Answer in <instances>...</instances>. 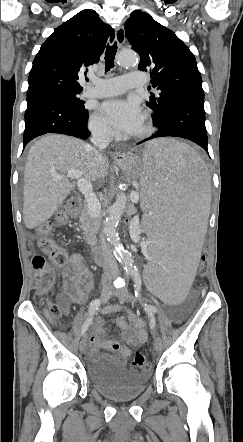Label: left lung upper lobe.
I'll use <instances>...</instances> for the list:
<instances>
[{
  "mask_svg": "<svg viewBox=\"0 0 243 442\" xmlns=\"http://www.w3.org/2000/svg\"><path fill=\"white\" fill-rule=\"evenodd\" d=\"M125 34L140 55L139 70L150 71L152 87L160 90L146 102L153 119L163 114L169 100L184 90H203L195 56L174 32L140 10L131 13Z\"/></svg>",
  "mask_w": 243,
  "mask_h": 442,
  "instance_id": "1",
  "label": "left lung upper lobe"
}]
</instances>
